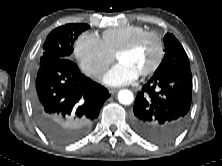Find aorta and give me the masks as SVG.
Returning a JSON list of instances; mask_svg holds the SVG:
<instances>
[{
  "instance_id": "762f6f07",
  "label": "aorta",
  "mask_w": 222,
  "mask_h": 166,
  "mask_svg": "<svg viewBox=\"0 0 222 166\" xmlns=\"http://www.w3.org/2000/svg\"><path fill=\"white\" fill-rule=\"evenodd\" d=\"M118 100L123 105H129L134 100L133 93L127 89L121 90L118 93Z\"/></svg>"
}]
</instances>
